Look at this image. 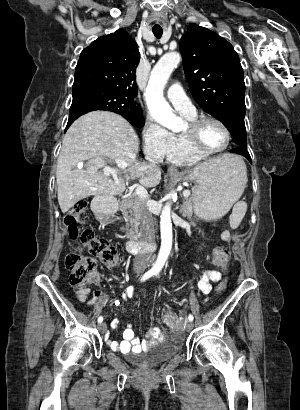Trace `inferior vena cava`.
<instances>
[{
    "label": "inferior vena cava",
    "instance_id": "obj_1",
    "mask_svg": "<svg viewBox=\"0 0 300 410\" xmlns=\"http://www.w3.org/2000/svg\"><path fill=\"white\" fill-rule=\"evenodd\" d=\"M154 166L158 167L156 163H152ZM141 228L140 241L148 245V248H154L156 240L154 237V225L152 213L148 209H144L140 215ZM150 244V245H149ZM151 259L150 254H139L135 257L133 267L135 270L144 271L148 266Z\"/></svg>",
    "mask_w": 300,
    "mask_h": 410
}]
</instances>
